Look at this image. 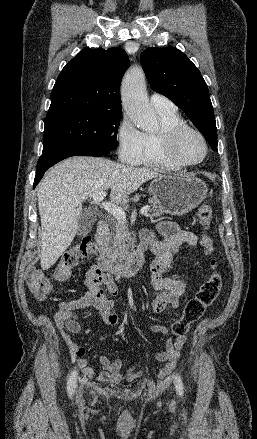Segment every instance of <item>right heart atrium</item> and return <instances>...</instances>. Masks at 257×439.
I'll use <instances>...</instances> for the list:
<instances>
[{"instance_id": "d8ad5b80", "label": "right heart atrium", "mask_w": 257, "mask_h": 439, "mask_svg": "<svg viewBox=\"0 0 257 439\" xmlns=\"http://www.w3.org/2000/svg\"><path fill=\"white\" fill-rule=\"evenodd\" d=\"M116 139L121 161L134 163L143 151V133L134 126L126 115L122 117L119 123Z\"/></svg>"}]
</instances>
